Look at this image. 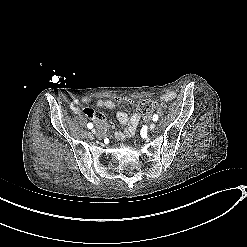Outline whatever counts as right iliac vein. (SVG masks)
I'll return each instance as SVG.
<instances>
[{"label": "right iliac vein", "instance_id": "obj_1", "mask_svg": "<svg viewBox=\"0 0 247 247\" xmlns=\"http://www.w3.org/2000/svg\"><path fill=\"white\" fill-rule=\"evenodd\" d=\"M92 133H93V134H97L96 129H92Z\"/></svg>", "mask_w": 247, "mask_h": 247}]
</instances>
